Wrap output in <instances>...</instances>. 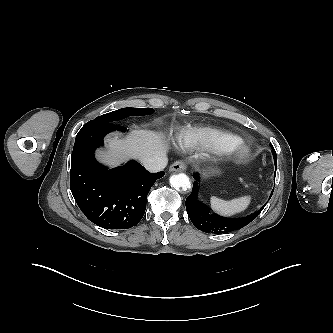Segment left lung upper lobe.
Segmentation results:
<instances>
[{"mask_svg":"<svg viewBox=\"0 0 333 333\" xmlns=\"http://www.w3.org/2000/svg\"><path fill=\"white\" fill-rule=\"evenodd\" d=\"M272 147V154H273V157H274V162H275V166L277 165V159H276V152L275 150L273 149V146Z\"/></svg>","mask_w":333,"mask_h":333,"instance_id":"obj_1","label":"left lung upper lobe"}]
</instances>
